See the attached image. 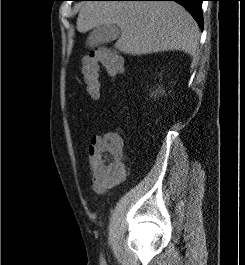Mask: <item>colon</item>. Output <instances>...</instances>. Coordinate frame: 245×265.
<instances>
[{
	"label": "colon",
	"instance_id": "1",
	"mask_svg": "<svg viewBox=\"0 0 245 265\" xmlns=\"http://www.w3.org/2000/svg\"><path fill=\"white\" fill-rule=\"evenodd\" d=\"M103 66L112 77H118L123 72V60L114 51L107 48H97L83 60L82 73L87 93L93 99L100 95V66ZM123 140L117 133H110L93 156V166L110 180L120 179L124 173L122 161Z\"/></svg>",
	"mask_w": 245,
	"mask_h": 265
}]
</instances>
